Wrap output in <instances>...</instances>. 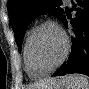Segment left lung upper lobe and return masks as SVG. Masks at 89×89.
Instances as JSON below:
<instances>
[{
	"label": "left lung upper lobe",
	"instance_id": "5c2ea615",
	"mask_svg": "<svg viewBox=\"0 0 89 89\" xmlns=\"http://www.w3.org/2000/svg\"><path fill=\"white\" fill-rule=\"evenodd\" d=\"M59 5H61L60 0H8L10 25L19 51L26 29L33 19L42 14H50L62 21L64 10Z\"/></svg>",
	"mask_w": 89,
	"mask_h": 89
}]
</instances>
